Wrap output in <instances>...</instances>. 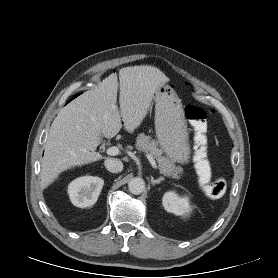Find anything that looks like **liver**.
Returning <instances> with one entry per match:
<instances>
[{
  "instance_id": "obj_1",
  "label": "liver",
  "mask_w": 278,
  "mask_h": 278,
  "mask_svg": "<svg viewBox=\"0 0 278 278\" xmlns=\"http://www.w3.org/2000/svg\"><path fill=\"white\" fill-rule=\"evenodd\" d=\"M119 81L120 111L116 105L115 73L59 111L45 144L42 188L67 169L104 159L95 152L102 137L113 138L122 126L127 132H134L146 117L155 92L168 78L155 67L134 66L122 68Z\"/></svg>"
}]
</instances>
